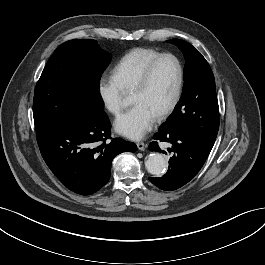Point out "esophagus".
Segmentation results:
<instances>
[{"label": "esophagus", "instance_id": "obj_1", "mask_svg": "<svg viewBox=\"0 0 265 265\" xmlns=\"http://www.w3.org/2000/svg\"><path fill=\"white\" fill-rule=\"evenodd\" d=\"M137 148L140 150V151H144L145 148H146V144L144 142H138L137 143Z\"/></svg>", "mask_w": 265, "mask_h": 265}]
</instances>
